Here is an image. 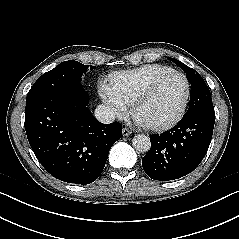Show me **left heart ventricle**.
<instances>
[{
    "label": "left heart ventricle",
    "instance_id": "b2bd125f",
    "mask_svg": "<svg viewBox=\"0 0 239 239\" xmlns=\"http://www.w3.org/2000/svg\"><path fill=\"white\" fill-rule=\"evenodd\" d=\"M184 95L185 84L180 76L166 78L140 106L137 119L143 123H159L171 119L178 112Z\"/></svg>",
    "mask_w": 239,
    "mask_h": 239
}]
</instances>
